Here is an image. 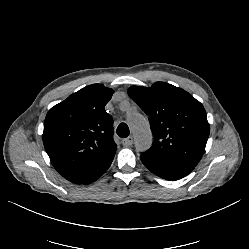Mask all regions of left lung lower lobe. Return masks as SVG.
Wrapping results in <instances>:
<instances>
[{
	"mask_svg": "<svg viewBox=\"0 0 249 249\" xmlns=\"http://www.w3.org/2000/svg\"><path fill=\"white\" fill-rule=\"evenodd\" d=\"M140 159L152 173L166 180H178L194 169L192 166L146 154H142Z\"/></svg>",
	"mask_w": 249,
	"mask_h": 249,
	"instance_id": "0a47b994",
	"label": "left lung lower lobe"
}]
</instances>
